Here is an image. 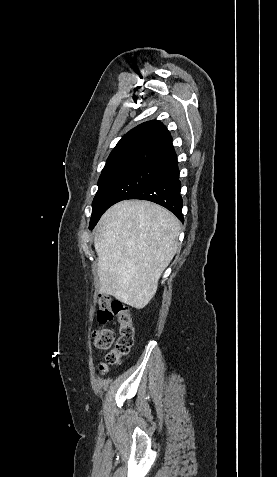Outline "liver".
I'll list each match as a JSON object with an SVG mask.
<instances>
[{"mask_svg": "<svg viewBox=\"0 0 277 477\" xmlns=\"http://www.w3.org/2000/svg\"><path fill=\"white\" fill-rule=\"evenodd\" d=\"M180 230L170 211L149 201L125 200L109 208L94 237L99 292L144 308L177 251Z\"/></svg>", "mask_w": 277, "mask_h": 477, "instance_id": "1", "label": "liver"}]
</instances>
